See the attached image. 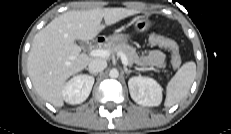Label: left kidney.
Listing matches in <instances>:
<instances>
[{
    "instance_id": "obj_1",
    "label": "left kidney",
    "mask_w": 231,
    "mask_h": 134,
    "mask_svg": "<svg viewBox=\"0 0 231 134\" xmlns=\"http://www.w3.org/2000/svg\"><path fill=\"white\" fill-rule=\"evenodd\" d=\"M131 98L142 106H158L162 102V87L150 77L134 76L128 81Z\"/></svg>"
}]
</instances>
